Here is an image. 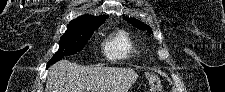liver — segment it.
<instances>
[{"label":"liver","instance_id":"obj_1","mask_svg":"<svg viewBox=\"0 0 225 92\" xmlns=\"http://www.w3.org/2000/svg\"><path fill=\"white\" fill-rule=\"evenodd\" d=\"M137 78L133 69L84 67L62 60L50 67L45 92H128Z\"/></svg>","mask_w":225,"mask_h":92}]
</instances>
